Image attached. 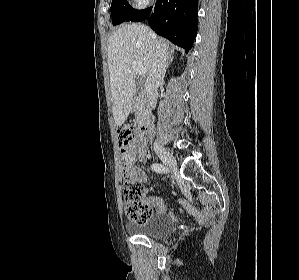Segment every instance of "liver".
I'll return each mask as SVG.
<instances>
[{
  "label": "liver",
  "mask_w": 299,
  "mask_h": 280,
  "mask_svg": "<svg viewBox=\"0 0 299 280\" xmlns=\"http://www.w3.org/2000/svg\"><path fill=\"white\" fill-rule=\"evenodd\" d=\"M157 46L166 55L169 51L173 52L162 39L142 24H127L110 36L108 66L112 113L117 126H121L127 120L136 92L132 62L141 63L149 73Z\"/></svg>",
  "instance_id": "1"
}]
</instances>
